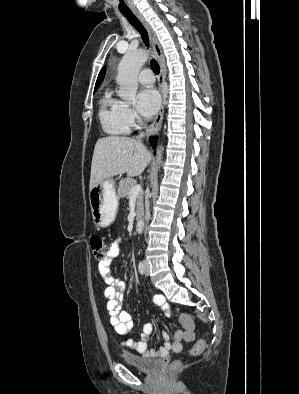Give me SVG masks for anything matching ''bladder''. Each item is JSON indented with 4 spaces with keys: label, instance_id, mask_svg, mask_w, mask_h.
Wrapping results in <instances>:
<instances>
[{
    "label": "bladder",
    "instance_id": "1",
    "mask_svg": "<svg viewBox=\"0 0 299 394\" xmlns=\"http://www.w3.org/2000/svg\"><path fill=\"white\" fill-rule=\"evenodd\" d=\"M121 360L129 367L143 373H150L161 365L159 359H149L130 352H122Z\"/></svg>",
    "mask_w": 299,
    "mask_h": 394
}]
</instances>
